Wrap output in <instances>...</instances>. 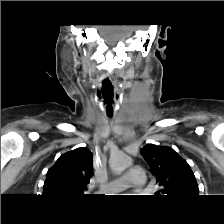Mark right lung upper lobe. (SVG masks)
<instances>
[{"mask_svg": "<svg viewBox=\"0 0 224 224\" xmlns=\"http://www.w3.org/2000/svg\"><path fill=\"white\" fill-rule=\"evenodd\" d=\"M92 161L93 154L86 147L60 156L47 172L43 195H83L93 175Z\"/></svg>", "mask_w": 224, "mask_h": 224, "instance_id": "right-lung-upper-lobe-1", "label": "right lung upper lobe"}]
</instances>
